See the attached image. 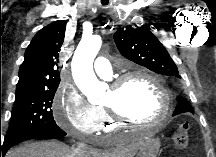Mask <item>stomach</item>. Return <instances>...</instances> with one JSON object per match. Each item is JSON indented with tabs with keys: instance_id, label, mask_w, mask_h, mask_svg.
I'll return each mask as SVG.
<instances>
[{
	"instance_id": "0dacf381",
	"label": "stomach",
	"mask_w": 216,
	"mask_h": 157,
	"mask_svg": "<svg viewBox=\"0 0 216 157\" xmlns=\"http://www.w3.org/2000/svg\"><path fill=\"white\" fill-rule=\"evenodd\" d=\"M160 148V141L157 138H146L140 148L136 157H156Z\"/></svg>"
}]
</instances>
